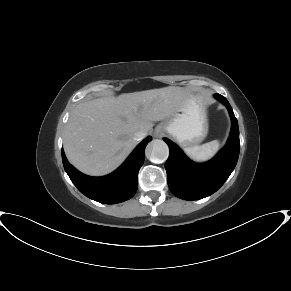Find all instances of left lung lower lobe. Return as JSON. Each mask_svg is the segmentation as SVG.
<instances>
[{
  "instance_id": "0a47b994",
  "label": "left lung lower lobe",
  "mask_w": 291,
  "mask_h": 291,
  "mask_svg": "<svg viewBox=\"0 0 291 291\" xmlns=\"http://www.w3.org/2000/svg\"><path fill=\"white\" fill-rule=\"evenodd\" d=\"M214 96L228 108L232 128L226 146L211 161L194 163L177 145L164 138L170 149L165 163L168 186L175 196L184 200H198L216 192L230 176L238 160L240 141L237 119L227 99L220 94Z\"/></svg>"
}]
</instances>
